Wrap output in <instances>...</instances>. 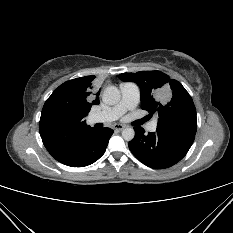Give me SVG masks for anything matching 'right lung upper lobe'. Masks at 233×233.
I'll return each mask as SVG.
<instances>
[{"label":"right lung upper lobe","mask_w":233,"mask_h":233,"mask_svg":"<svg viewBox=\"0 0 233 233\" xmlns=\"http://www.w3.org/2000/svg\"><path fill=\"white\" fill-rule=\"evenodd\" d=\"M95 76H85L72 79L60 85L59 87L65 89L70 95L84 102L90 111L92 105L99 104V91L96 93L94 89ZM85 121L79 129L85 128Z\"/></svg>","instance_id":"cb5924a9"}]
</instances>
